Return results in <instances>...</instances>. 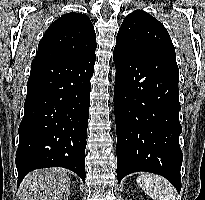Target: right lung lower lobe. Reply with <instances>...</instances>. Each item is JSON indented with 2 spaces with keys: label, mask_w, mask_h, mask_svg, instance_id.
I'll return each instance as SVG.
<instances>
[{
  "label": "right lung lower lobe",
  "mask_w": 205,
  "mask_h": 200,
  "mask_svg": "<svg viewBox=\"0 0 205 200\" xmlns=\"http://www.w3.org/2000/svg\"><path fill=\"white\" fill-rule=\"evenodd\" d=\"M95 52L73 60L34 59L16 152L17 186L32 170L64 167L85 182L90 79Z\"/></svg>",
  "instance_id": "1"
}]
</instances>
